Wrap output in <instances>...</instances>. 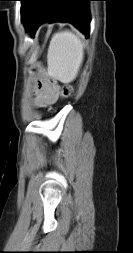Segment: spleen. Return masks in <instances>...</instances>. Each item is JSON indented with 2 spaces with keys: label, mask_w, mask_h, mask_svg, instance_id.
<instances>
[{
  "label": "spleen",
  "mask_w": 133,
  "mask_h": 253,
  "mask_svg": "<svg viewBox=\"0 0 133 253\" xmlns=\"http://www.w3.org/2000/svg\"><path fill=\"white\" fill-rule=\"evenodd\" d=\"M83 57L84 44L79 35L69 30L55 33L47 54L48 73L62 83H70L77 77Z\"/></svg>",
  "instance_id": "1"
}]
</instances>
